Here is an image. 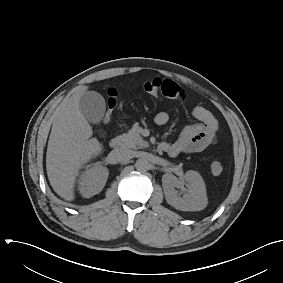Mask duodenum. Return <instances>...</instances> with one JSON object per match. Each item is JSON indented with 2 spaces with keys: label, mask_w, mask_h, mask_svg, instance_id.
<instances>
[{
  "label": "duodenum",
  "mask_w": 283,
  "mask_h": 283,
  "mask_svg": "<svg viewBox=\"0 0 283 283\" xmlns=\"http://www.w3.org/2000/svg\"><path fill=\"white\" fill-rule=\"evenodd\" d=\"M121 143H122L121 138L119 136H116L113 139H111L110 147L113 148V149H116V148L121 146ZM158 148H159V150H162L163 144H160Z\"/></svg>",
  "instance_id": "1"
}]
</instances>
